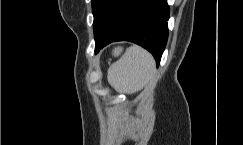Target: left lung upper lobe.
<instances>
[{"mask_svg":"<svg viewBox=\"0 0 243 145\" xmlns=\"http://www.w3.org/2000/svg\"><path fill=\"white\" fill-rule=\"evenodd\" d=\"M94 31L106 33L128 0H92Z\"/></svg>","mask_w":243,"mask_h":145,"instance_id":"1","label":"left lung upper lobe"}]
</instances>
